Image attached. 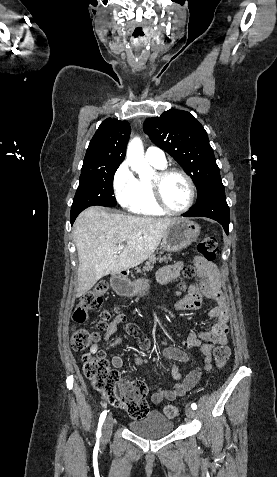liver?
Segmentation results:
<instances>
[{"mask_svg": "<svg viewBox=\"0 0 277 477\" xmlns=\"http://www.w3.org/2000/svg\"><path fill=\"white\" fill-rule=\"evenodd\" d=\"M174 220L108 213L99 206L84 210L73 229L79 259L77 297L102 277L148 259ZM123 242L126 247L117 255V245Z\"/></svg>", "mask_w": 277, "mask_h": 477, "instance_id": "liver-1", "label": "liver"}]
</instances>
